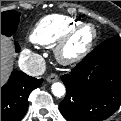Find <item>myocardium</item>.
<instances>
[{
  "label": "myocardium",
  "instance_id": "myocardium-1",
  "mask_svg": "<svg viewBox=\"0 0 121 121\" xmlns=\"http://www.w3.org/2000/svg\"><path fill=\"white\" fill-rule=\"evenodd\" d=\"M88 29L92 36L88 43L80 50L71 52L69 47L74 37L82 30ZM98 37L97 29L94 25L80 23L71 28L55 45L54 53L57 60L65 65L73 64L83 59L95 44Z\"/></svg>",
  "mask_w": 121,
  "mask_h": 121
}]
</instances>
